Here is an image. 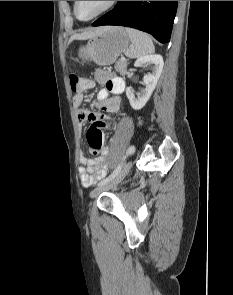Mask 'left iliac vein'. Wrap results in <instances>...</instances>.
Here are the masks:
<instances>
[{
	"label": "left iliac vein",
	"instance_id": "obj_1",
	"mask_svg": "<svg viewBox=\"0 0 233 295\" xmlns=\"http://www.w3.org/2000/svg\"><path fill=\"white\" fill-rule=\"evenodd\" d=\"M132 165H133L132 161H129L128 163H126L125 166L123 167V169L118 173V175L115 178H113L108 183L98 186L94 190H92L90 193V197L92 199L96 198L102 192L107 191V190L111 189L112 187L116 186L118 183H120L126 177V175L129 173Z\"/></svg>",
	"mask_w": 233,
	"mask_h": 295
}]
</instances>
